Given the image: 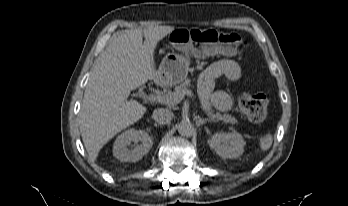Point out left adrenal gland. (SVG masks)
Here are the masks:
<instances>
[{
    "mask_svg": "<svg viewBox=\"0 0 348 206\" xmlns=\"http://www.w3.org/2000/svg\"><path fill=\"white\" fill-rule=\"evenodd\" d=\"M195 118H196V123H197L198 125H203V124H205L206 122H211V121H212V120L209 119V118L202 119V118H200L199 116H196Z\"/></svg>",
    "mask_w": 348,
    "mask_h": 206,
    "instance_id": "left-adrenal-gland-1",
    "label": "left adrenal gland"
}]
</instances>
